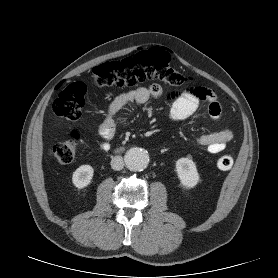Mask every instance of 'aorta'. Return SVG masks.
<instances>
[{
  "mask_svg": "<svg viewBox=\"0 0 278 278\" xmlns=\"http://www.w3.org/2000/svg\"><path fill=\"white\" fill-rule=\"evenodd\" d=\"M125 163L131 171H143L149 163V155L142 148H131L125 154Z\"/></svg>",
  "mask_w": 278,
  "mask_h": 278,
  "instance_id": "762f6f07",
  "label": "aorta"
}]
</instances>
